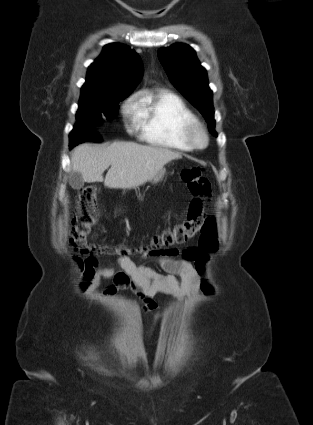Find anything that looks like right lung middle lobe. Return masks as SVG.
Here are the masks:
<instances>
[{
    "label": "right lung middle lobe",
    "mask_w": 313,
    "mask_h": 425,
    "mask_svg": "<svg viewBox=\"0 0 313 425\" xmlns=\"http://www.w3.org/2000/svg\"><path fill=\"white\" fill-rule=\"evenodd\" d=\"M128 94L114 93L98 99L79 101V109L76 114L77 123L90 126L98 125L104 118H113L118 114L119 102L125 99ZM78 143V139L70 137V145Z\"/></svg>",
    "instance_id": "obj_1"
}]
</instances>
